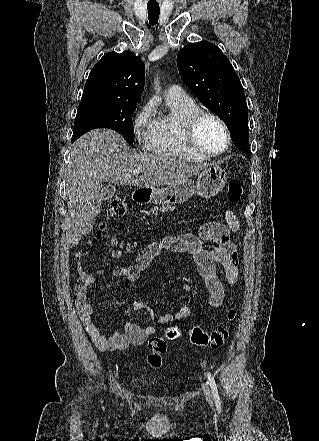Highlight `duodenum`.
Segmentation results:
<instances>
[{
    "mask_svg": "<svg viewBox=\"0 0 319 441\" xmlns=\"http://www.w3.org/2000/svg\"><path fill=\"white\" fill-rule=\"evenodd\" d=\"M150 199V192L147 190H138L133 195V200L136 203H145Z\"/></svg>",
    "mask_w": 319,
    "mask_h": 441,
    "instance_id": "410a0bca",
    "label": "duodenum"
}]
</instances>
